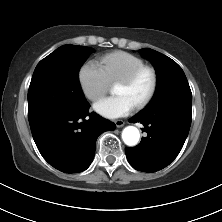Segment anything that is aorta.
I'll return each mask as SVG.
<instances>
[{
  "mask_svg": "<svg viewBox=\"0 0 222 222\" xmlns=\"http://www.w3.org/2000/svg\"><path fill=\"white\" fill-rule=\"evenodd\" d=\"M122 139L128 146H135L138 144L140 139L139 130L134 126H127L122 131Z\"/></svg>",
  "mask_w": 222,
  "mask_h": 222,
  "instance_id": "obj_1",
  "label": "aorta"
}]
</instances>
